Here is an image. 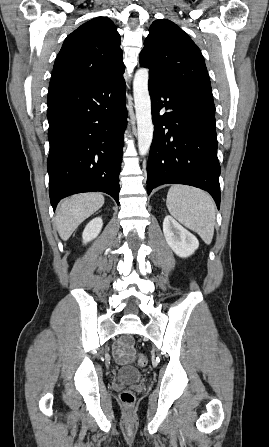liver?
Wrapping results in <instances>:
<instances>
[{
    "instance_id": "6515ba94",
    "label": "liver",
    "mask_w": 269,
    "mask_h": 447,
    "mask_svg": "<svg viewBox=\"0 0 269 447\" xmlns=\"http://www.w3.org/2000/svg\"><path fill=\"white\" fill-rule=\"evenodd\" d=\"M104 198L102 194H76L71 198H66L57 210L56 227L58 233L64 241L69 239L74 229L84 222L86 218L92 216L99 208H102Z\"/></svg>"
}]
</instances>
